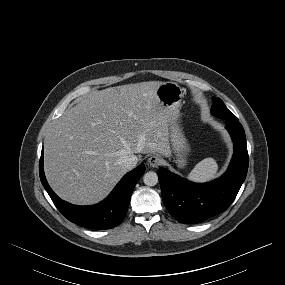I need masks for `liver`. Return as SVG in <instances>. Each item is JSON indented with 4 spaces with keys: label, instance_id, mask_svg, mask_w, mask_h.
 Listing matches in <instances>:
<instances>
[{
    "label": "liver",
    "instance_id": "obj_1",
    "mask_svg": "<svg viewBox=\"0 0 285 285\" xmlns=\"http://www.w3.org/2000/svg\"><path fill=\"white\" fill-rule=\"evenodd\" d=\"M160 84L148 81L92 92L52 123L44 144V168L59 197L95 204L128 171L124 156L171 155L170 113L159 102Z\"/></svg>",
    "mask_w": 285,
    "mask_h": 285
}]
</instances>
